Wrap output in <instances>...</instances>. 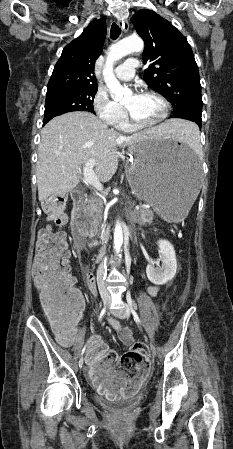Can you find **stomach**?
Listing matches in <instances>:
<instances>
[{
	"instance_id": "1",
	"label": "stomach",
	"mask_w": 233,
	"mask_h": 449,
	"mask_svg": "<svg viewBox=\"0 0 233 449\" xmlns=\"http://www.w3.org/2000/svg\"><path fill=\"white\" fill-rule=\"evenodd\" d=\"M130 153L126 177L134 195L165 221L183 220L201 188L197 155L184 145L155 137L132 145Z\"/></svg>"
}]
</instances>
